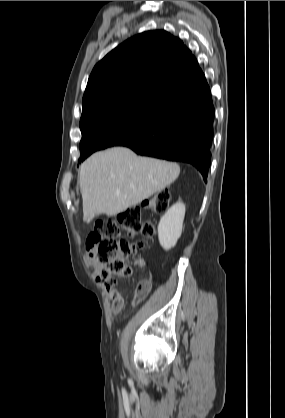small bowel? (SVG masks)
Returning a JSON list of instances; mask_svg holds the SVG:
<instances>
[{"label": "small bowel", "instance_id": "small-bowel-1", "mask_svg": "<svg viewBox=\"0 0 285 418\" xmlns=\"http://www.w3.org/2000/svg\"><path fill=\"white\" fill-rule=\"evenodd\" d=\"M135 265L141 268H145L146 262L143 258H138L135 261ZM89 267L95 274H98L101 269V264L99 262H90ZM142 281L147 282L149 286H151L152 281H153V274L150 269L146 270L144 279ZM105 289H106L107 297L111 300V313L113 315H118L119 313L122 312L124 308V298L122 294L118 290H116L113 286L106 287ZM134 303L137 304L139 303V301L134 299Z\"/></svg>", "mask_w": 285, "mask_h": 418}]
</instances>
